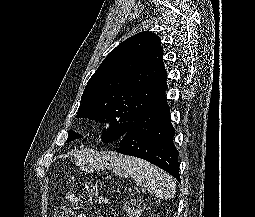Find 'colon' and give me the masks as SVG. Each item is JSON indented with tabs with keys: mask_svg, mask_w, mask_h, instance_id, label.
Masks as SVG:
<instances>
[{
	"mask_svg": "<svg viewBox=\"0 0 255 217\" xmlns=\"http://www.w3.org/2000/svg\"><path fill=\"white\" fill-rule=\"evenodd\" d=\"M66 199L69 206H59L54 213V217H73L72 209H77L81 206L82 202L79 197L73 193H68ZM125 212L127 217H141L143 212V202L138 198H132L125 203Z\"/></svg>",
	"mask_w": 255,
	"mask_h": 217,
	"instance_id": "obj_1",
	"label": "colon"
}]
</instances>
